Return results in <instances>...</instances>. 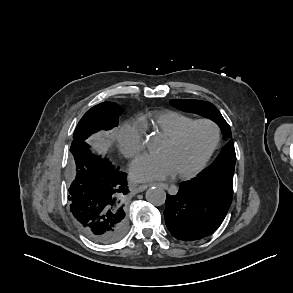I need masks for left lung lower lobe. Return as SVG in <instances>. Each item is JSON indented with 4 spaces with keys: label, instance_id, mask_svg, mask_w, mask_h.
Returning <instances> with one entry per match:
<instances>
[{
    "label": "left lung lower lobe",
    "instance_id": "left-lung-lower-lobe-1",
    "mask_svg": "<svg viewBox=\"0 0 293 293\" xmlns=\"http://www.w3.org/2000/svg\"><path fill=\"white\" fill-rule=\"evenodd\" d=\"M232 175H198L182 183L176 195H167L165 222L183 241L202 239L218 229L232 202Z\"/></svg>",
    "mask_w": 293,
    "mask_h": 293
}]
</instances>
